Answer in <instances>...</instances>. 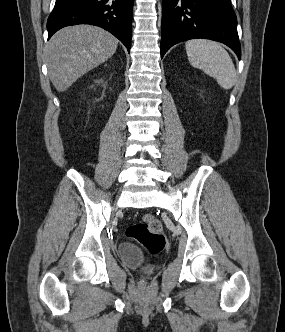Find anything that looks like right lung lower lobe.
I'll return each instance as SVG.
<instances>
[{"mask_svg":"<svg viewBox=\"0 0 285 332\" xmlns=\"http://www.w3.org/2000/svg\"><path fill=\"white\" fill-rule=\"evenodd\" d=\"M134 0H56L47 21L48 39L59 29L76 24L102 27L130 52Z\"/></svg>","mask_w":285,"mask_h":332,"instance_id":"1","label":"right lung lower lobe"}]
</instances>
